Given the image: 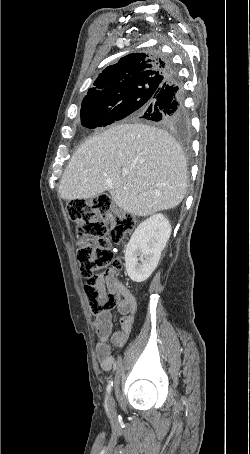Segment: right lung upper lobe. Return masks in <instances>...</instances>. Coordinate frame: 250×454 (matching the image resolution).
I'll list each match as a JSON object with an SVG mask.
<instances>
[{"mask_svg": "<svg viewBox=\"0 0 250 454\" xmlns=\"http://www.w3.org/2000/svg\"><path fill=\"white\" fill-rule=\"evenodd\" d=\"M168 63L155 53H132L103 70L88 90L82 105L119 98L146 84L166 82L170 74Z\"/></svg>", "mask_w": 250, "mask_h": 454, "instance_id": "cb5924a9", "label": "right lung upper lobe"}]
</instances>
